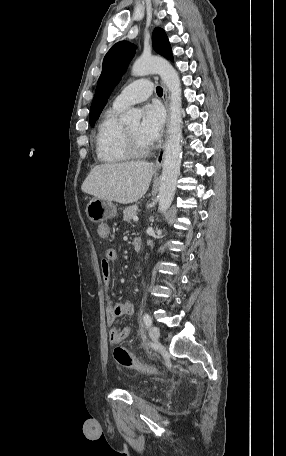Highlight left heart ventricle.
Masks as SVG:
<instances>
[{
  "instance_id": "obj_1",
  "label": "left heart ventricle",
  "mask_w": 286,
  "mask_h": 456,
  "mask_svg": "<svg viewBox=\"0 0 286 456\" xmlns=\"http://www.w3.org/2000/svg\"><path fill=\"white\" fill-rule=\"evenodd\" d=\"M127 129L129 130V132L131 133V135L133 136L134 140L136 141V143L138 144L139 147H147L150 145L146 140H144L141 137L139 123L131 124V125L127 126Z\"/></svg>"
}]
</instances>
